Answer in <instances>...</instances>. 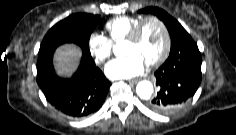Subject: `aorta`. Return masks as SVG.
<instances>
[{
  "label": "aorta",
  "mask_w": 236,
  "mask_h": 135,
  "mask_svg": "<svg viewBox=\"0 0 236 135\" xmlns=\"http://www.w3.org/2000/svg\"><path fill=\"white\" fill-rule=\"evenodd\" d=\"M136 93L143 100L150 99L153 93L152 83L149 81L139 82L136 86Z\"/></svg>",
  "instance_id": "obj_1"
}]
</instances>
